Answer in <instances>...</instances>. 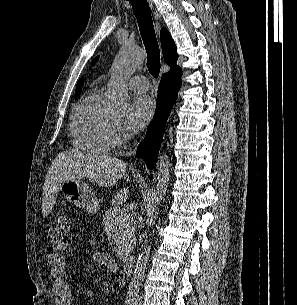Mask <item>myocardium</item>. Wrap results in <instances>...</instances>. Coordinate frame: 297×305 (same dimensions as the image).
Wrapping results in <instances>:
<instances>
[{"label": "myocardium", "instance_id": "myocardium-1", "mask_svg": "<svg viewBox=\"0 0 297 305\" xmlns=\"http://www.w3.org/2000/svg\"><path fill=\"white\" fill-rule=\"evenodd\" d=\"M109 140L111 146H120L124 143V136L120 124L110 120L109 124Z\"/></svg>", "mask_w": 297, "mask_h": 305}]
</instances>
